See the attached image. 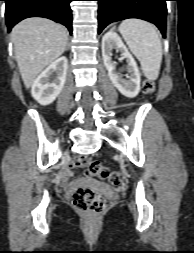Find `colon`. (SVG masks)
Listing matches in <instances>:
<instances>
[{"instance_id":"obj_1","label":"colon","mask_w":194,"mask_h":253,"mask_svg":"<svg viewBox=\"0 0 194 253\" xmlns=\"http://www.w3.org/2000/svg\"><path fill=\"white\" fill-rule=\"evenodd\" d=\"M142 90L145 94H151L155 90V85L150 80H144ZM75 165L87 167V175L106 179L112 185H118L122 181V174L119 171H112L98 161H90L86 156L76 157ZM72 202L77 210L90 214L101 213L106 208V200L99 193L88 188L77 189L73 194Z\"/></svg>"}]
</instances>
